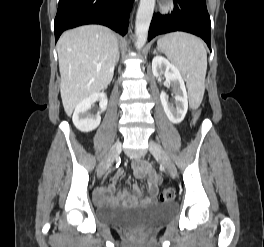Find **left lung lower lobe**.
<instances>
[{
    "label": "left lung lower lobe",
    "instance_id": "0a47b994",
    "mask_svg": "<svg viewBox=\"0 0 264 247\" xmlns=\"http://www.w3.org/2000/svg\"><path fill=\"white\" fill-rule=\"evenodd\" d=\"M174 31H184L201 37L211 47V22L206 0H175L171 14L154 13L148 41L155 36Z\"/></svg>",
    "mask_w": 264,
    "mask_h": 247
}]
</instances>
